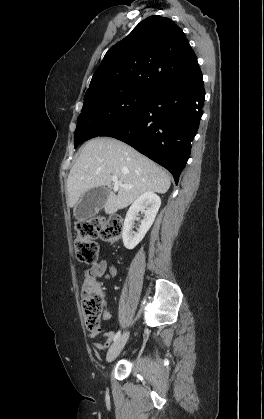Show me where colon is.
Segmentation results:
<instances>
[{
    "instance_id": "colon-1",
    "label": "colon",
    "mask_w": 264,
    "mask_h": 419,
    "mask_svg": "<svg viewBox=\"0 0 264 419\" xmlns=\"http://www.w3.org/2000/svg\"><path fill=\"white\" fill-rule=\"evenodd\" d=\"M122 230L123 222L119 216L79 220L76 223L77 236L74 241L77 260L87 264L95 263L99 254L96 239L101 237L109 243H116L121 237ZM104 306V292L98 281L90 277L85 278L81 291V307L89 331L101 330L100 319Z\"/></svg>"
}]
</instances>
